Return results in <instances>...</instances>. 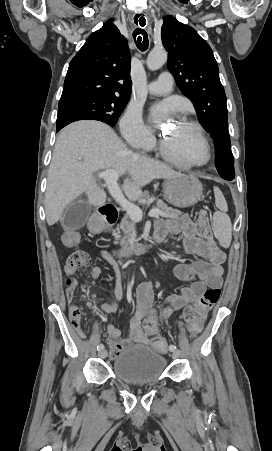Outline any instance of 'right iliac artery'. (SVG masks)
Wrapping results in <instances>:
<instances>
[{
	"label": "right iliac artery",
	"instance_id": "obj_1",
	"mask_svg": "<svg viewBox=\"0 0 272 451\" xmlns=\"http://www.w3.org/2000/svg\"><path fill=\"white\" fill-rule=\"evenodd\" d=\"M102 349H104V345H103V344H99V345L97 346V350H102Z\"/></svg>",
	"mask_w": 272,
	"mask_h": 451
}]
</instances>
